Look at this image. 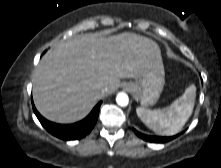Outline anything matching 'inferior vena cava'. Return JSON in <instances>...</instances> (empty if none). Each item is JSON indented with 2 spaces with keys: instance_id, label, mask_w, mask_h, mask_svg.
Returning <instances> with one entry per match:
<instances>
[{
  "instance_id": "602c4592",
  "label": "inferior vena cava",
  "mask_w": 221,
  "mask_h": 168,
  "mask_svg": "<svg viewBox=\"0 0 221 168\" xmlns=\"http://www.w3.org/2000/svg\"><path fill=\"white\" fill-rule=\"evenodd\" d=\"M108 91V89L105 87L102 89V93H106Z\"/></svg>"
}]
</instances>
